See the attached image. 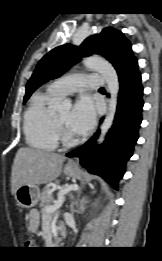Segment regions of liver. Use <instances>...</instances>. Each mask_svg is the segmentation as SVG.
Listing matches in <instances>:
<instances>
[{"instance_id":"liver-1","label":"liver","mask_w":162,"mask_h":261,"mask_svg":"<svg viewBox=\"0 0 162 261\" xmlns=\"http://www.w3.org/2000/svg\"><path fill=\"white\" fill-rule=\"evenodd\" d=\"M65 156L37 150L20 148L14 158L11 172V192L24 184L40 185L52 182L61 173Z\"/></svg>"}]
</instances>
